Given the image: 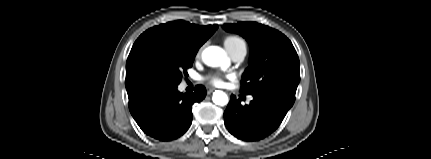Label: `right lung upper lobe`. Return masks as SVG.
<instances>
[{"mask_svg": "<svg viewBox=\"0 0 431 159\" xmlns=\"http://www.w3.org/2000/svg\"><path fill=\"white\" fill-rule=\"evenodd\" d=\"M217 28L218 25L216 24L199 26L178 20L152 27L141 34L135 41L127 59L125 86L128 98H132L148 88L136 75L131 64V55L137 46L148 41H157L197 53L200 46L208 40Z\"/></svg>", "mask_w": 431, "mask_h": 159, "instance_id": "cb5924a9", "label": "right lung upper lobe"}]
</instances>
